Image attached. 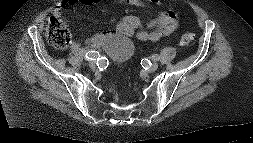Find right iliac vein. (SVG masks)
Masks as SVG:
<instances>
[{
	"instance_id": "obj_1",
	"label": "right iliac vein",
	"mask_w": 253,
	"mask_h": 143,
	"mask_svg": "<svg viewBox=\"0 0 253 143\" xmlns=\"http://www.w3.org/2000/svg\"><path fill=\"white\" fill-rule=\"evenodd\" d=\"M89 66L91 67V69H95L96 68V63L94 61H91Z\"/></svg>"
}]
</instances>
